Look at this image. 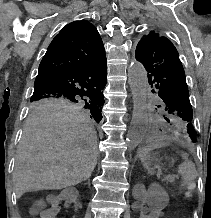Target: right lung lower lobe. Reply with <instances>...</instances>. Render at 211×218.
I'll return each mask as SVG.
<instances>
[{
    "label": "right lung lower lobe",
    "instance_id": "98d812e1",
    "mask_svg": "<svg viewBox=\"0 0 211 218\" xmlns=\"http://www.w3.org/2000/svg\"><path fill=\"white\" fill-rule=\"evenodd\" d=\"M107 82L106 57L49 78L34 87L32 98L39 97H103Z\"/></svg>",
    "mask_w": 211,
    "mask_h": 218
}]
</instances>
